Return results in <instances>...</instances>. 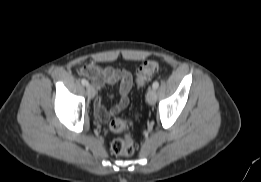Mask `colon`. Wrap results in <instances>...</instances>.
I'll return each instance as SVG.
<instances>
[{
	"label": "colon",
	"instance_id": "obj_1",
	"mask_svg": "<svg viewBox=\"0 0 261 182\" xmlns=\"http://www.w3.org/2000/svg\"><path fill=\"white\" fill-rule=\"evenodd\" d=\"M160 64L154 60H148L142 63L137 70L136 82L138 86H143L151 77L160 70ZM138 115L131 119L115 118L110 123V130L114 133L124 134L122 139H115L111 143V151L116 155L129 156L135 151V144L130 135L126 134Z\"/></svg>",
	"mask_w": 261,
	"mask_h": 182
}]
</instances>
